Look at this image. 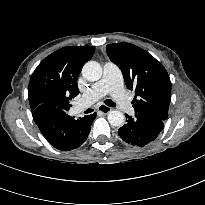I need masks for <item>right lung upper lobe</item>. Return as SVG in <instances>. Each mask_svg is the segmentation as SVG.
<instances>
[{
	"label": "right lung upper lobe",
	"instance_id": "cb5924a9",
	"mask_svg": "<svg viewBox=\"0 0 205 205\" xmlns=\"http://www.w3.org/2000/svg\"><path fill=\"white\" fill-rule=\"evenodd\" d=\"M94 50V46H67L47 56L35 69L29 82L31 110L53 102L57 94L65 93L74 98L79 93L77 78Z\"/></svg>",
	"mask_w": 205,
	"mask_h": 205
}]
</instances>
